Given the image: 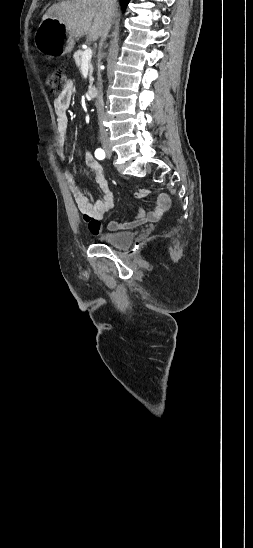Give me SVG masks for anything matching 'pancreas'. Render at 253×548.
Here are the masks:
<instances>
[{
    "instance_id": "1",
    "label": "pancreas",
    "mask_w": 253,
    "mask_h": 548,
    "mask_svg": "<svg viewBox=\"0 0 253 548\" xmlns=\"http://www.w3.org/2000/svg\"><path fill=\"white\" fill-rule=\"evenodd\" d=\"M83 51L82 50H78L74 53V60H75V63L77 65V67L81 68L82 67V56H83ZM88 69H89V75H90V81L92 82V73H93V67H92V64L91 62L88 63Z\"/></svg>"
}]
</instances>
